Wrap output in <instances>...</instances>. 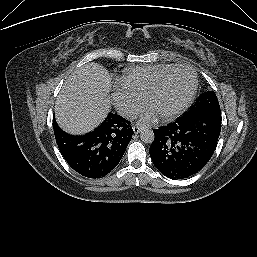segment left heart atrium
Here are the masks:
<instances>
[{
  "instance_id": "1",
  "label": "left heart atrium",
  "mask_w": 257,
  "mask_h": 257,
  "mask_svg": "<svg viewBox=\"0 0 257 257\" xmlns=\"http://www.w3.org/2000/svg\"><path fill=\"white\" fill-rule=\"evenodd\" d=\"M156 117V113L152 110H146L142 115H141V121L143 123H150L153 122L155 120Z\"/></svg>"
}]
</instances>
